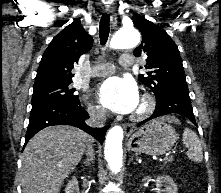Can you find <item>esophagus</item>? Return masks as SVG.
I'll return each mask as SVG.
<instances>
[{
    "mask_svg": "<svg viewBox=\"0 0 221 193\" xmlns=\"http://www.w3.org/2000/svg\"><path fill=\"white\" fill-rule=\"evenodd\" d=\"M106 11L110 12L112 11V7L111 6H106ZM112 26H115V22L112 20ZM132 129V126L130 125H124V130L125 131H130Z\"/></svg>",
    "mask_w": 221,
    "mask_h": 193,
    "instance_id": "34e87169",
    "label": "esophagus"
}]
</instances>
